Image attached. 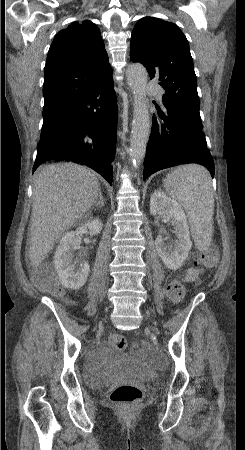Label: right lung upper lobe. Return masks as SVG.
<instances>
[{"label": "right lung upper lobe", "mask_w": 245, "mask_h": 450, "mask_svg": "<svg viewBox=\"0 0 245 450\" xmlns=\"http://www.w3.org/2000/svg\"><path fill=\"white\" fill-rule=\"evenodd\" d=\"M112 74L99 28L74 22L54 38L43 84V114L57 109Z\"/></svg>", "instance_id": "1"}]
</instances>
